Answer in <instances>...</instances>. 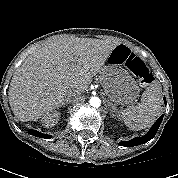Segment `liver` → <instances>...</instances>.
I'll use <instances>...</instances> for the list:
<instances>
[{
  "label": "liver",
  "instance_id": "1",
  "mask_svg": "<svg viewBox=\"0 0 178 178\" xmlns=\"http://www.w3.org/2000/svg\"><path fill=\"white\" fill-rule=\"evenodd\" d=\"M117 41L52 39L38 47L14 72L8 98L20 121H35L59 108L72 90L84 92Z\"/></svg>",
  "mask_w": 178,
  "mask_h": 178
}]
</instances>
